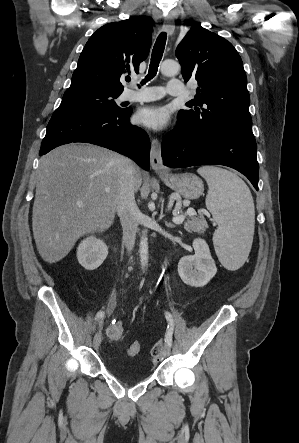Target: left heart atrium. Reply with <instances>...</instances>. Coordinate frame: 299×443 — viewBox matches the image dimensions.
Returning a JSON list of instances; mask_svg holds the SVG:
<instances>
[{"label":"left heart atrium","mask_w":299,"mask_h":443,"mask_svg":"<svg viewBox=\"0 0 299 443\" xmlns=\"http://www.w3.org/2000/svg\"><path fill=\"white\" fill-rule=\"evenodd\" d=\"M137 122L153 130H162L168 124L170 115L168 110L162 106H151L142 108L136 115Z\"/></svg>","instance_id":"1"}]
</instances>
